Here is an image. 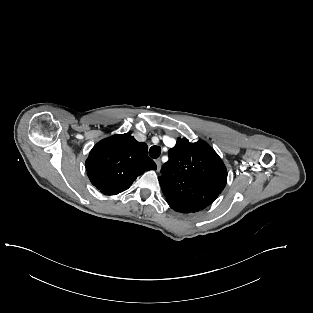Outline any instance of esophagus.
<instances>
[{
  "instance_id": "obj_1",
  "label": "esophagus",
  "mask_w": 313,
  "mask_h": 313,
  "mask_svg": "<svg viewBox=\"0 0 313 313\" xmlns=\"http://www.w3.org/2000/svg\"><path fill=\"white\" fill-rule=\"evenodd\" d=\"M155 162H156V165H157V171H160V169H161V160L157 159Z\"/></svg>"
}]
</instances>
